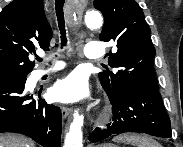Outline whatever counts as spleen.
Here are the masks:
<instances>
[{
  "mask_svg": "<svg viewBox=\"0 0 183 147\" xmlns=\"http://www.w3.org/2000/svg\"><path fill=\"white\" fill-rule=\"evenodd\" d=\"M115 142H124L135 147H161V145L146 135L124 134L113 138Z\"/></svg>",
  "mask_w": 183,
  "mask_h": 147,
  "instance_id": "1",
  "label": "spleen"
}]
</instances>
